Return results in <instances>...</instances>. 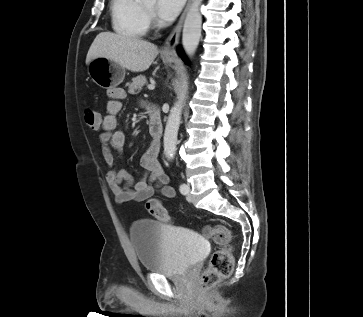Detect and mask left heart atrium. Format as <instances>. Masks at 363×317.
<instances>
[{
  "instance_id": "39dd6f15",
  "label": "left heart atrium",
  "mask_w": 363,
  "mask_h": 317,
  "mask_svg": "<svg viewBox=\"0 0 363 317\" xmlns=\"http://www.w3.org/2000/svg\"><path fill=\"white\" fill-rule=\"evenodd\" d=\"M184 0H158L156 12L164 21H172L179 14Z\"/></svg>"
}]
</instances>
